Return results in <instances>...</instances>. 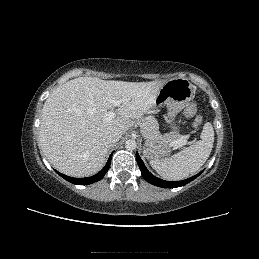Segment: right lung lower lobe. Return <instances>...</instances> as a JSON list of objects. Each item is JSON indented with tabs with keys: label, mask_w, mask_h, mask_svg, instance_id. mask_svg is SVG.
I'll return each mask as SVG.
<instances>
[{
	"label": "right lung lower lobe",
	"mask_w": 259,
	"mask_h": 259,
	"mask_svg": "<svg viewBox=\"0 0 259 259\" xmlns=\"http://www.w3.org/2000/svg\"><path fill=\"white\" fill-rule=\"evenodd\" d=\"M111 157H112V154L110 155L105 167L99 172L97 173L96 175L94 176H91V177H86V178H73V177H69V176H66L64 174H61L59 173L58 171H56L62 178H64L65 180L73 183V184H76V185H87V184H92L94 182H97L99 180H101L104 175L107 173L109 167H110V163H111Z\"/></svg>",
	"instance_id": "obj_1"
}]
</instances>
